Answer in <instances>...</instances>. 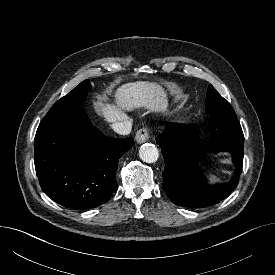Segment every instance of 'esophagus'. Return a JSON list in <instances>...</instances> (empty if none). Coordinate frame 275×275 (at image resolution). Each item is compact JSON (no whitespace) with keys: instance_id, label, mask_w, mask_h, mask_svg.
<instances>
[{"instance_id":"1","label":"esophagus","mask_w":275,"mask_h":275,"mask_svg":"<svg viewBox=\"0 0 275 275\" xmlns=\"http://www.w3.org/2000/svg\"><path fill=\"white\" fill-rule=\"evenodd\" d=\"M136 142L138 144H142L149 139V133L145 128H142L137 131L136 136H135Z\"/></svg>"}]
</instances>
